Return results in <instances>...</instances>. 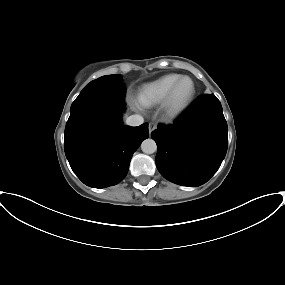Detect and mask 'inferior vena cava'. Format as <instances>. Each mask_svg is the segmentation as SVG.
Listing matches in <instances>:
<instances>
[{
	"label": "inferior vena cava",
	"instance_id": "inferior-vena-cava-1",
	"mask_svg": "<svg viewBox=\"0 0 285 285\" xmlns=\"http://www.w3.org/2000/svg\"><path fill=\"white\" fill-rule=\"evenodd\" d=\"M144 119L140 115H131L126 119V124L129 126H139L143 124Z\"/></svg>",
	"mask_w": 285,
	"mask_h": 285
}]
</instances>
